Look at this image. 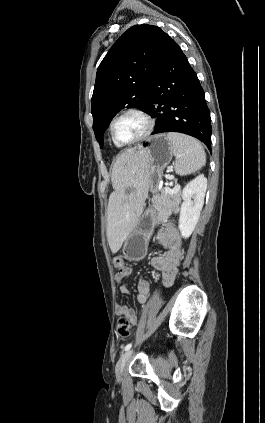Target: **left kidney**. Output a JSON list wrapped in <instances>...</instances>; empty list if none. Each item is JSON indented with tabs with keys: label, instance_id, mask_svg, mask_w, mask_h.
Wrapping results in <instances>:
<instances>
[{
	"label": "left kidney",
	"instance_id": "obj_1",
	"mask_svg": "<svg viewBox=\"0 0 265 423\" xmlns=\"http://www.w3.org/2000/svg\"><path fill=\"white\" fill-rule=\"evenodd\" d=\"M207 190V178L201 174L186 184L182 191L179 225L181 236L189 238L199 220Z\"/></svg>",
	"mask_w": 265,
	"mask_h": 423
}]
</instances>
